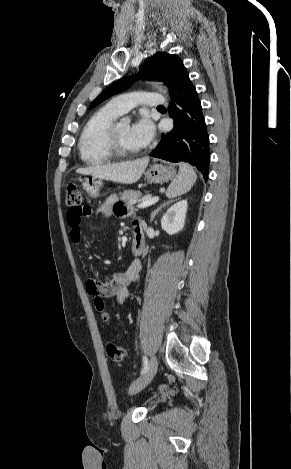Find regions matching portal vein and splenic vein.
I'll list each match as a JSON object with an SVG mask.
<instances>
[{"label":"portal vein and splenic vein","instance_id":"1","mask_svg":"<svg viewBox=\"0 0 291 469\" xmlns=\"http://www.w3.org/2000/svg\"><path fill=\"white\" fill-rule=\"evenodd\" d=\"M159 201V197L155 196L150 199H147L141 203L138 204V208H146L148 206H151Z\"/></svg>","mask_w":291,"mask_h":469}]
</instances>
